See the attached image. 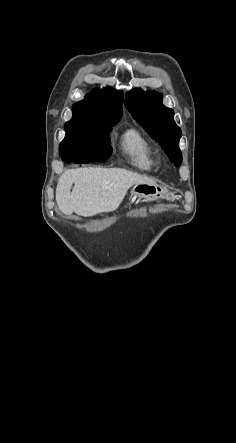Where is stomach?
Returning <instances> with one entry per match:
<instances>
[{
	"label": "stomach",
	"instance_id": "0dacf381",
	"mask_svg": "<svg viewBox=\"0 0 236 443\" xmlns=\"http://www.w3.org/2000/svg\"><path fill=\"white\" fill-rule=\"evenodd\" d=\"M132 199H144L153 201L159 198H165L166 192L158 185L136 184L131 190Z\"/></svg>",
	"mask_w": 236,
	"mask_h": 443
}]
</instances>
